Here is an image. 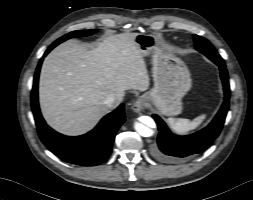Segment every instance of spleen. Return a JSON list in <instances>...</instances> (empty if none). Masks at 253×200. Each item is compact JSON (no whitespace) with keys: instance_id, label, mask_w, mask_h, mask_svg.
I'll list each match as a JSON object with an SVG mask.
<instances>
[{"instance_id":"1","label":"spleen","mask_w":253,"mask_h":200,"mask_svg":"<svg viewBox=\"0 0 253 200\" xmlns=\"http://www.w3.org/2000/svg\"><path fill=\"white\" fill-rule=\"evenodd\" d=\"M206 115H200L193 120L183 118H169L167 120L171 129L178 134H187L197 129L205 120Z\"/></svg>"}]
</instances>
